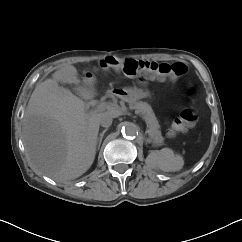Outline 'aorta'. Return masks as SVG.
Wrapping results in <instances>:
<instances>
[{
    "mask_svg": "<svg viewBox=\"0 0 242 242\" xmlns=\"http://www.w3.org/2000/svg\"><path fill=\"white\" fill-rule=\"evenodd\" d=\"M122 131L129 136H136L138 134V126L132 122H126Z\"/></svg>",
    "mask_w": 242,
    "mask_h": 242,
    "instance_id": "obj_1",
    "label": "aorta"
}]
</instances>
